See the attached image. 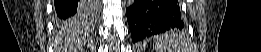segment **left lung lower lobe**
<instances>
[{"label": "left lung lower lobe", "mask_w": 261, "mask_h": 52, "mask_svg": "<svg viewBox=\"0 0 261 52\" xmlns=\"http://www.w3.org/2000/svg\"><path fill=\"white\" fill-rule=\"evenodd\" d=\"M127 20L134 43L183 27L177 0H136L127 9Z\"/></svg>", "instance_id": "0a47b994"}]
</instances>
